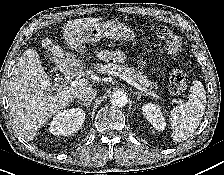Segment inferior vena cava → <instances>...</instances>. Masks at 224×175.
<instances>
[{
  "label": "inferior vena cava",
  "mask_w": 224,
  "mask_h": 175,
  "mask_svg": "<svg viewBox=\"0 0 224 175\" xmlns=\"http://www.w3.org/2000/svg\"><path fill=\"white\" fill-rule=\"evenodd\" d=\"M96 95L97 91L93 88L88 87L79 90L76 97L81 101H92L93 99H95Z\"/></svg>",
  "instance_id": "obj_1"
}]
</instances>
